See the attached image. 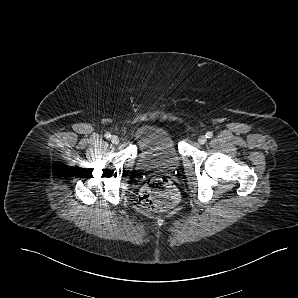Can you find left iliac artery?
Here are the masks:
<instances>
[{
	"instance_id": "obj_1",
	"label": "left iliac artery",
	"mask_w": 298,
	"mask_h": 298,
	"mask_svg": "<svg viewBox=\"0 0 298 298\" xmlns=\"http://www.w3.org/2000/svg\"><path fill=\"white\" fill-rule=\"evenodd\" d=\"M205 136L207 138H212L213 137V133L212 132H207Z\"/></svg>"
}]
</instances>
